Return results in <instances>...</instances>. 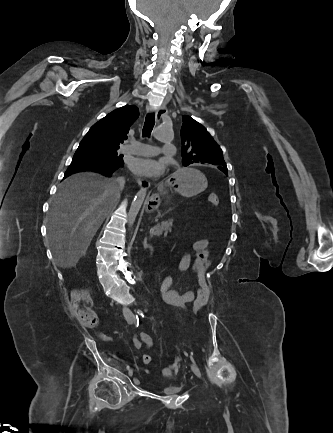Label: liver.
Instances as JSON below:
<instances>
[{
	"mask_svg": "<svg viewBox=\"0 0 333 433\" xmlns=\"http://www.w3.org/2000/svg\"><path fill=\"white\" fill-rule=\"evenodd\" d=\"M115 182L94 172H81L60 184L47 216L54 264L71 268L85 256L97 230L118 201L120 193ZM161 188L166 192L170 187L165 183Z\"/></svg>",
	"mask_w": 333,
	"mask_h": 433,
	"instance_id": "liver-1",
	"label": "liver"
}]
</instances>
